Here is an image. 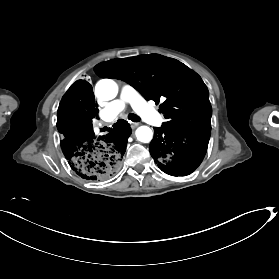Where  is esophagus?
Wrapping results in <instances>:
<instances>
[{
  "label": "esophagus",
  "mask_w": 279,
  "mask_h": 279,
  "mask_svg": "<svg viewBox=\"0 0 279 279\" xmlns=\"http://www.w3.org/2000/svg\"><path fill=\"white\" fill-rule=\"evenodd\" d=\"M140 124L138 122H132L131 123V128L135 129L136 127H138Z\"/></svg>",
  "instance_id": "esophagus-1"
}]
</instances>
